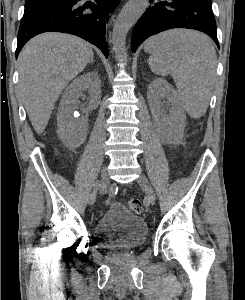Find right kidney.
Instances as JSON below:
<instances>
[{
    "label": "right kidney",
    "instance_id": "right-kidney-1",
    "mask_svg": "<svg viewBox=\"0 0 245 300\" xmlns=\"http://www.w3.org/2000/svg\"><path fill=\"white\" fill-rule=\"evenodd\" d=\"M88 92V106L83 109V117H75L74 112L79 108V97ZM101 100V81L97 72H88L77 77L65 90L58 114V135L63 143L70 148L80 146L86 137L87 114L96 109Z\"/></svg>",
    "mask_w": 245,
    "mask_h": 300
}]
</instances>
